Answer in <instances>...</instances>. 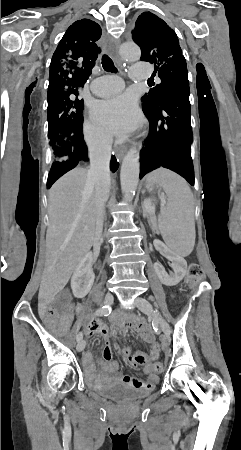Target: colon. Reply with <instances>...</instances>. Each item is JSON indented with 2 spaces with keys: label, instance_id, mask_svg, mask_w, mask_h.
Wrapping results in <instances>:
<instances>
[{
  "label": "colon",
  "instance_id": "5ec220e1",
  "mask_svg": "<svg viewBox=\"0 0 241 450\" xmlns=\"http://www.w3.org/2000/svg\"><path fill=\"white\" fill-rule=\"evenodd\" d=\"M203 275V270L201 268V266L197 263H191L188 267V273H187V282L192 283L196 280H198L199 278H201ZM76 311L77 312H82L83 311V306L82 305H77L76 306ZM163 369V366L161 364H157L155 366V371L156 372H161Z\"/></svg>",
  "mask_w": 241,
  "mask_h": 450
}]
</instances>
